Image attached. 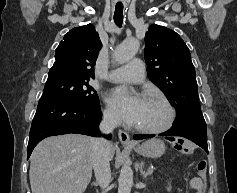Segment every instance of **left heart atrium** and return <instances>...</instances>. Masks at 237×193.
Here are the masks:
<instances>
[{
    "label": "left heart atrium",
    "mask_w": 237,
    "mask_h": 193,
    "mask_svg": "<svg viewBox=\"0 0 237 193\" xmlns=\"http://www.w3.org/2000/svg\"><path fill=\"white\" fill-rule=\"evenodd\" d=\"M108 103L119 112L125 121L135 124L138 120L144 99L126 86L114 88L107 97Z\"/></svg>",
    "instance_id": "obj_1"
}]
</instances>
